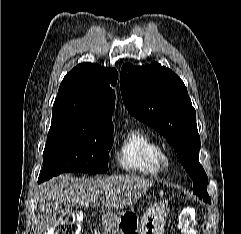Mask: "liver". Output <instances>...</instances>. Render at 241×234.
<instances>
[{"instance_id": "6515ba94", "label": "liver", "mask_w": 241, "mask_h": 234, "mask_svg": "<svg viewBox=\"0 0 241 234\" xmlns=\"http://www.w3.org/2000/svg\"><path fill=\"white\" fill-rule=\"evenodd\" d=\"M153 181L137 175H112L71 181L60 175L39 186L41 222L37 234H47L55 227L57 215L78 206H98L122 209L136 203L153 186Z\"/></svg>"}]
</instances>
